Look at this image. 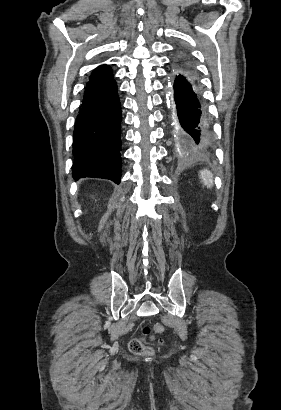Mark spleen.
<instances>
[{"instance_id": "1", "label": "spleen", "mask_w": 281, "mask_h": 410, "mask_svg": "<svg viewBox=\"0 0 281 410\" xmlns=\"http://www.w3.org/2000/svg\"><path fill=\"white\" fill-rule=\"evenodd\" d=\"M200 178L207 188H211L213 185V175L207 169L200 171Z\"/></svg>"}]
</instances>
